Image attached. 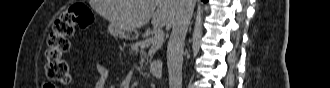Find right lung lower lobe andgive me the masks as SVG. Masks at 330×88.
I'll return each instance as SVG.
<instances>
[{"mask_svg": "<svg viewBox=\"0 0 330 88\" xmlns=\"http://www.w3.org/2000/svg\"><path fill=\"white\" fill-rule=\"evenodd\" d=\"M203 2H207L208 0H202Z\"/></svg>", "mask_w": 330, "mask_h": 88, "instance_id": "1", "label": "right lung lower lobe"}]
</instances>
